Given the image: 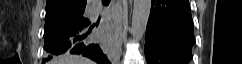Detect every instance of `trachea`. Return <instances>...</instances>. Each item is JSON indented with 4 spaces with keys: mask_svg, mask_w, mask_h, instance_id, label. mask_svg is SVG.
I'll return each instance as SVG.
<instances>
[{
    "mask_svg": "<svg viewBox=\"0 0 242 64\" xmlns=\"http://www.w3.org/2000/svg\"><path fill=\"white\" fill-rule=\"evenodd\" d=\"M103 3H109L110 0H102Z\"/></svg>",
    "mask_w": 242,
    "mask_h": 64,
    "instance_id": "obj_1",
    "label": "trachea"
}]
</instances>
